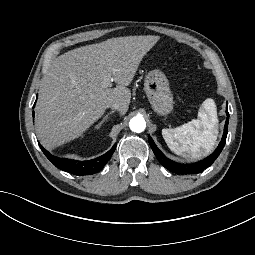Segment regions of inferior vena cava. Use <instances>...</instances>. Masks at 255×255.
<instances>
[{"label": "inferior vena cava", "mask_w": 255, "mask_h": 255, "mask_svg": "<svg viewBox=\"0 0 255 255\" xmlns=\"http://www.w3.org/2000/svg\"><path fill=\"white\" fill-rule=\"evenodd\" d=\"M110 108L113 109V110H120L121 105L118 104V103H116V102H114V103H112V104L110 105Z\"/></svg>", "instance_id": "602c4592"}]
</instances>
